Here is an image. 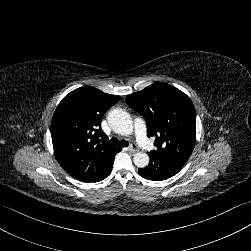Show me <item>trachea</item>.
<instances>
[{"instance_id": "trachea-1", "label": "trachea", "mask_w": 251, "mask_h": 251, "mask_svg": "<svg viewBox=\"0 0 251 251\" xmlns=\"http://www.w3.org/2000/svg\"><path fill=\"white\" fill-rule=\"evenodd\" d=\"M109 144L111 146H121V147H127L128 142L126 140L119 141L117 138H111Z\"/></svg>"}]
</instances>
